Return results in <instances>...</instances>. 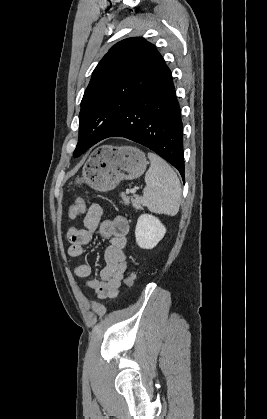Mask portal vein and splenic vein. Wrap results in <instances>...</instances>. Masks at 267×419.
Wrapping results in <instances>:
<instances>
[{
	"instance_id": "1",
	"label": "portal vein and splenic vein",
	"mask_w": 267,
	"mask_h": 419,
	"mask_svg": "<svg viewBox=\"0 0 267 419\" xmlns=\"http://www.w3.org/2000/svg\"><path fill=\"white\" fill-rule=\"evenodd\" d=\"M130 192L134 194V193L136 192V189H135V188H132V189L130 190Z\"/></svg>"
}]
</instances>
